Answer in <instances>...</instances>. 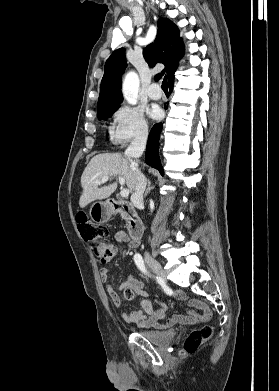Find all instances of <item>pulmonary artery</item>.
Wrapping results in <instances>:
<instances>
[{"mask_svg":"<svg viewBox=\"0 0 279 391\" xmlns=\"http://www.w3.org/2000/svg\"><path fill=\"white\" fill-rule=\"evenodd\" d=\"M147 95L149 98L153 100L160 99L162 96V92L160 89H158V84L156 83L151 84L147 90Z\"/></svg>","mask_w":279,"mask_h":391,"instance_id":"obj_1","label":"pulmonary artery"}]
</instances>
